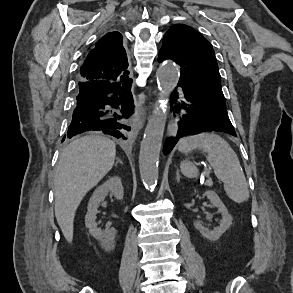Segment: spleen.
<instances>
[{
	"label": "spleen",
	"mask_w": 293,
	"mask_h": 293,
	"mask_svg": "<svg viewBox=\"0 0 293 293\" xmlns=\"http://www.w3.org/2000/svg\"><path fill=\"white\" fill-rule=\"evenodd\" d=\"M200 149L207 153V161L213 167L216 177L224 183L228 197L237 203L249 198L248 184L239 159L221 136L215 133H200L182 138L178 144L180 152H191ZM181 172L188 178L198 176L197 167L190 161H182Z\"/></svg>",
	"instance_id": "3e777b00"
}]
</instances>
